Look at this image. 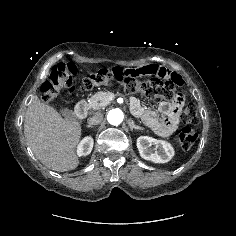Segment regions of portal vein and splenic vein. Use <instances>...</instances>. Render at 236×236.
<instances>
[{
  "label": "portal vein and splenic vein",
  "instance_id": "obj_1",
  "mask_svg": "<svg viewBox=\"0 0 236 236\" xmlns=\"http://www.w3.org/2000/svg\"><path fill=\"white\" fill-rule=\"evenodd\" d=\"M109 100L111 101V100H112V97H109Z\"/></svg>",
  "mask_w": 236,
  "mask_h": 236
}]
</instances>
